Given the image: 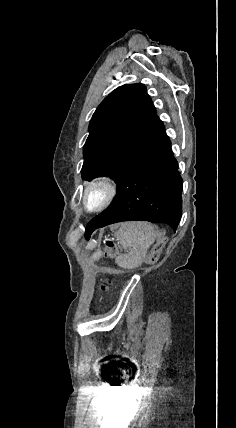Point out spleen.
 Here are the masks:
<instances>
[{
	"instance_id": "3e777b00",
	"label": "spleen",
	"mask_w": 236,
	"mask_h": 428,
	"mask_svg": "<svg viewBox=\"0 0 236 428\" xmlns=\"http://www.w3.org/2000/svg\"><path fill=\"white\" fill-rule=\"evenodd\" d=\"M116 238L124 250L129 248L128 254H120L116 258L118 266H129V268H138L146 260L147 252L154 244L156 234L154 228L147 222H125L119 228Z\"/></svg>"
}]
</instances>
